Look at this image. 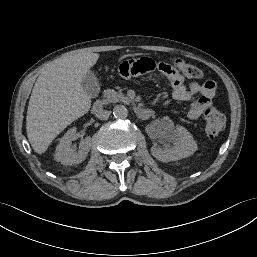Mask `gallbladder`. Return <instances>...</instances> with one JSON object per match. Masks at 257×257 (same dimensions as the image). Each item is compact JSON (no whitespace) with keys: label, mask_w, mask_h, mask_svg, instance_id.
Returning <instances> with one entry per match:
<instances>
[{"label":"gallbladder","mask_w":257,"mask_h":257,"mask_svg":"<svg viewBox=\"0 0 257 257\" xmlns=\"http://www.w3.org/2000/svg\"><path fill=\"white\" fill-rule=\"evenodd\" d=\"M81 86L84 89V91L92 98L97 97L100 92V84H99L98 78L91 71H89L84 76L81 82Z\"/></svg>","instance_id":"bac80fb5"}]
</instances>
